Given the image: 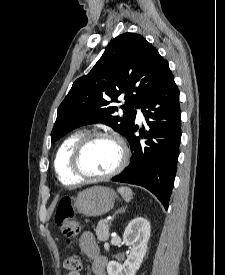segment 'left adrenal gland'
<instances>
[{"instance_id": "obj_1", "label": "left adrenal gland", "mask_w": 225, "mask_h": 275, "mask_svg": "<svg viewBox=\"0 0 225 275\" xmlns=\"http://www.w3.org/2000/svg\"><path fill=\"white\" fill-rule=\"evenodd\" d=\"M125 207H123V208H120L117 212H116V214H118V213H121V212H124L125 211Z\"/></svg>"}]
</instances>
